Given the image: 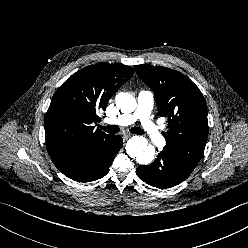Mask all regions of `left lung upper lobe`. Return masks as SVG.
Wrapping results in <instances>:
<instances>
[{
  "instance_id": "5c2ea615",
  "label": "left lung upper lobe",
  "mask_w": 248,
  "mask_h": 248,
  "mask_svg": "<svg viewBox=\"0 0 248 248\" xmlns=\"http://www.w3.org/2000/svg\"><path fill=\"white\" fill-rule=\"evenodd\" d=\"M154 92L158 113L168 117L163 151L194 169L208 138L207 106L199 88L185 75L165 67H135Z\"/></svg>"
}]
</instances>
